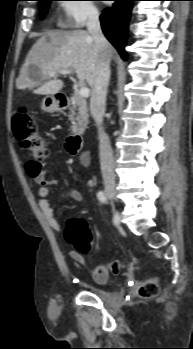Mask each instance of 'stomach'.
Returning <instances> with one entry per match:
<instances>
[{"label":"stomach","mask_w":193,"mask_h":349,"mask_svg":"<svg viewBox=\"0 0 193 349\" xmlns=\"http://www.w3.org/2000/svg\"><path fill=\"white\" fill-rule=\"evenodd\" d=\"M41 107L45 112L54 113L60 109V104L55 95H49L43 98Z\"/></svg>","instance_id":"1"}]
</instances>
